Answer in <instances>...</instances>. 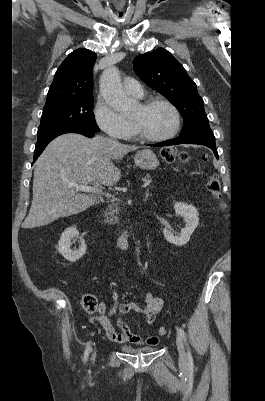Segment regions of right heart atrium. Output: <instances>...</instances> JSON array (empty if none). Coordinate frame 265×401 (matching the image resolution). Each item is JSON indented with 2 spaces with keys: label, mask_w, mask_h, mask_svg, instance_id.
<instances>
[{
  "label": "right heart atrium",
  "mask_w": 265,
  "mask_h": 401,
  "mask_svg": "<svg viewBox=\"0 0 265 401\" xmlns=\"http://www.w3.org/2000/svg\"><path fill=\"white\" fill-rule=\"evenodd\" d=\"M94 118L99 128L113 138L128 137L132 134L134 126L124 120L111 104L99 98L94 107Z\"/></svg>",
  "instance_id": "1"
}]
</instances>
